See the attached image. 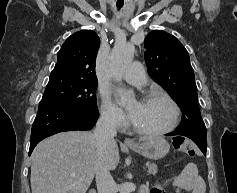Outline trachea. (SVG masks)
I'll use <instances>...</instances> for the list:
<instances>
[{"mask_svg": "<svg viewBox=\"0 0 237 193\" xmlns=\"http://www.w3.org/2000/svg\"><path fill=\"white\" fill-rule=\"evenodd\" d=\"M122 6H118V9H120Z\"/></svg>", "mask_w": 237, "mask_h": 193, "instance_id": "trachea-1", "label": "trachea"}]
</instances>
